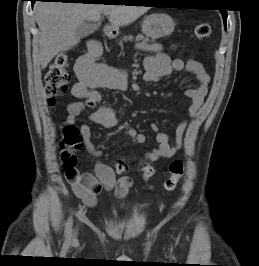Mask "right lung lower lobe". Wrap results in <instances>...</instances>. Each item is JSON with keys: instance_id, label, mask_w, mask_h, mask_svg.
<instances>
[{"instance_id": "98d812e1", "label": "right lung lower lobe", "mask_w": 259, "mask_h": 266, "mask_svg": "<svg viewBox=\"0 0 259 266\" xmlns=\"http://www.w3.org/2000/svg\"><path fill=\"white\" fill-rule=\"evenodd\" d=\"M30 1L32 3V6H33V4L35 3V1H42V2H45V1H53V2H62V3H65V2L75 1V0H30ZM80 1H83V3L86 4L87 2H99L100 0H80Z\"/></svg>"}]
</instances>
